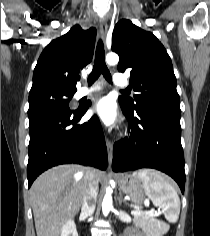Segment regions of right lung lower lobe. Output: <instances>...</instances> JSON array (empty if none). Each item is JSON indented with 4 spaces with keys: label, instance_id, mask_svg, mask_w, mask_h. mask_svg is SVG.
I'll use <instances>...</instances> for the list:
<instances>
[{
    "label": "right lung lower lobe",
    "instance_id": "1",
    "mask_svg": "<svg viewBox=\"0 0 210 236\" xmlns=\"http://www.w3.org/2000/svg\"><path fill=\"white\" fill-rule=\"evenodd\" d=\"M87 109L88 106L76 111L54 109L29 117L28 187L43 171L59 164L107 168V149L97 116L77 124Z\"/></svg>",
    "mask_w": 210,
    "mask_h": 236
}]
</instances>
